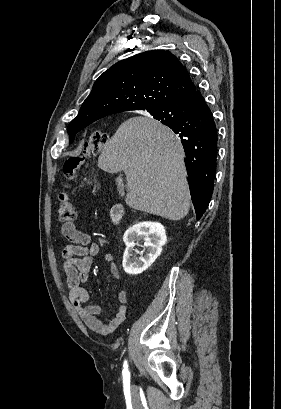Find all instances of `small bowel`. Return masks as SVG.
<instances>
[{
  "label": "small bowel",
  "instance_id": "c3829d8e",
  "mask_svg": "<svg viewBox=\"0 0 281 409\" xmlns=\"http://www.w3.org/2000/svg\"><path fill=\"white\" fill-rule=\"evenodd\" d=\"M62 233L69 241V244L63 248L61 256L62 270L66 277L70 301L87 327L99 335H109L113 333L126 318L128 293L126 290L118 291L117 300L119 305L117 311L107 325L103 324L97 317L102 311L101 306L88 304L90 293L87 289L82 287L89 279V271L93 257L99 253V245L89 234L79 231L73 223L63 226ZM104 259L111 273L116 278H119V271L113 255L106 254Z\"/></svg>",
  "mask_w": 281,
  "mask_h": 409
}]
</instances>
